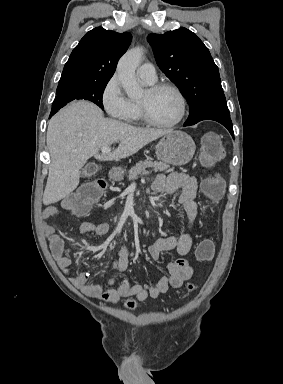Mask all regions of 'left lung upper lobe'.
<instances>
[{
    "label": "left lung upper lobe",
    "instance_id": "1",
    "mask_svg": "<svg viewBox=\"0 0 283 384\" xmlns=\"http://www.w3.org/2000/svg\"><path fill=\"white\" fill-rule=\"evenodd\" d=\"M159 68L186 98L190 113L186 125L212 118H230L219 70L208 48L190 30L180 27L150 34Z\"/></svg>",
    "mask_w": 283,
    "mask_h": 384
}]
</instances>
